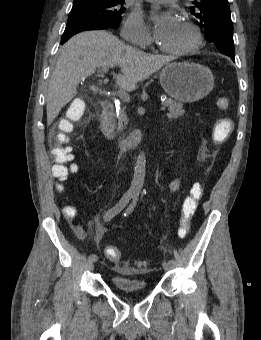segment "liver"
<instances>
[{
	"instance_id": "obj_1",
	"label": "liver",
	"mask_w": 261,
	"mask_h": 340,
	"mask_svg": "<svg viewBox=\"0 0 261 340\" xmlns=\"http://www.w3.org/2000/svg\"><path fill=\"white\" fill-rule=\"evenodd\" d=\"M171 58L149 55L122 43L107 31H86L65 43L54 67L47 90V124H52L61 109L77 94L79 82L96 68L119 66L116 83L131 91L137 83L168 64Z\"/></svg>"
}]
</instances>
